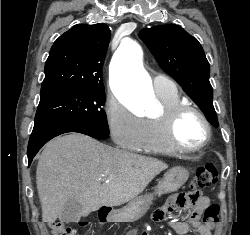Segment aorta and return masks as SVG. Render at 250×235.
<instances>
[{
    "mask_svg": "<svg viewBox=\"0 0 250 235\" xmlns=\"http://www.w3.org/2000/svg\"><path fill=\"white\" fill-rule=\"evenodd\" d=\"M143 52L138 43H121L110 64V82L116 97L125 106H142L152 97V83L142 65Z\"/></svg>",
    "mask_w": 250,
    "mask_h": 235,
    "instance_id": "obj_1",
    "label": "aorta"
}]
</instances>
